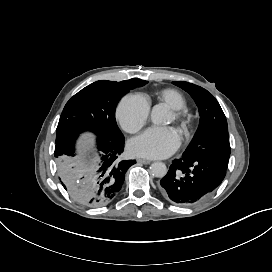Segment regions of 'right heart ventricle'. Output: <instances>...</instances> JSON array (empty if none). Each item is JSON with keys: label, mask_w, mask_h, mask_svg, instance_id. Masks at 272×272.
Returning a JSON list of instances; mask_svg holds the SVG:
<instances>
[{"label": "right heart ventricle", "mask_w": 272, "mask_h": 272, "mask_svg": "<svg viewBox=\"0 0 272 272\" xmlns=\"http://www.w3.org/2000/svg\"><path fill=\"white\" fill-rule=\"evenodd\" d=\"M159 98L167 103L171 108H183L185 106V101L182 95L172 89H167L159 94Z\"/></svg>", "instance_id": "e07e8e85"}]
</instances>
